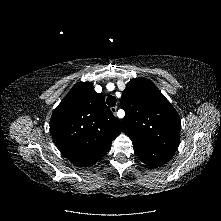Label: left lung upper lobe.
<instances>
[{
  "mask_svg": "<svg viewBox=\"0 0 221 221\" xmlns=\"http://www.w3.org/2000/svg\"><path fill=\"white\" fill-rule=\"evenodd\" d=\"M123 131L139 159L150 167L166 163L175 153L181 121L166 97L145 78L132 79L122 93Z\"/></svg>",
  "mask_w": 221,
  "mask_h": 221,
  "instance_id": "left-lung-upper-lobe-1",
  "label": "left lung upper lobe"
}]
</instances>
